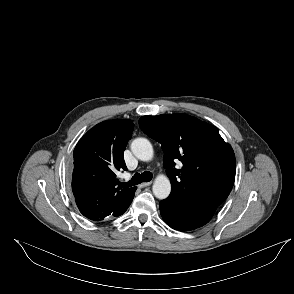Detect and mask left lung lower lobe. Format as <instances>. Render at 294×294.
<instances>
[{
	"label": "left lung lower lobe",
	"mask_w": 294,
	"mask_h": 294,
	"mask_svg": "<svg viewBox=\"0 0 294 294\" xmlns=\"http://www.w3.org/2000/svg\"><path fill=\"white\" fill-rule=\"evenodd\" d=\"M163 220L172 228L189 231L210 221L216 207L204 206L200 201L170 194L159 203Z\"/></svg>",
	"instance_id": "1"
}]
</instances>
